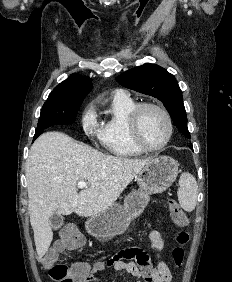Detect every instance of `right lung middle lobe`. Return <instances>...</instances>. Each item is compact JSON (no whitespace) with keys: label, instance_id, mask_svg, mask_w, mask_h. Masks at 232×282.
<instances>
[{"label":"right lung middle lobe","instance_id":"right-lung-middle-lobe-1","mask_svg":"<svg viewBox=\"0 0 232 282\" xmlns=\"http://www.w3.org/2000/svg\"><path fill=\"white\" fill-rule=\"evenodd\" d=\"M85 97L69 99H47L44 103L34 139L41 135L44 129L56 124H72L77 116Z\"/></svg>","mask_w":232,"mask_h":282}]
</instances>
